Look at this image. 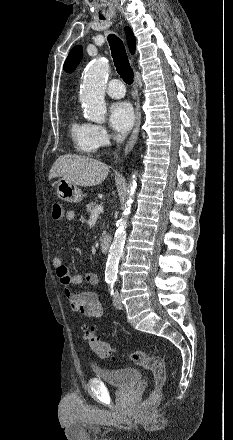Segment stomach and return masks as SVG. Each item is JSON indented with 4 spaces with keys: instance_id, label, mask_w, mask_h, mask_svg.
Returning <instances> with one entry per match:
<instances>
[{
    "instance_id": "1",
    "label": "stomach",
    "mask_w": 233,
    "mask_h": 440,
    "mask_svg": "<svg viewBox=\"0 0 233 440\" xmlns=\"http://www.w3.org/2000/svg\"><path fill=\"white\" fill-rule=\"evenodd\" d=\"M56 191L57 196L66 202L79 203L83 199L81 189L64 178H61L56 182Z\"/></svg>"
}]
</instances>
